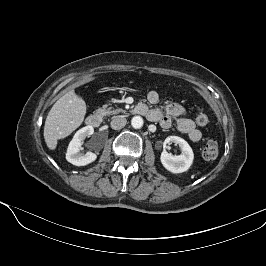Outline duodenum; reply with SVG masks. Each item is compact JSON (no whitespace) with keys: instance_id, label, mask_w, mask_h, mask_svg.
I'll return each instance as SVG.
<instances>
[{"instance_id":"1","label":"duodenum","mask_w":266,"mask_h":266,"mask_svg":"<svg viewBox=\"0 0 266 266\" xmlns=\"http://www.w3.org/2000/svg\"><path fill=\"white\" fill-rule=\"evenodd\" d=\"M133 113L143 115L145 113V109L142 106H136L133 109ZM101 123V118L97 114H91L86 118V124L90 127L97 128Z\"/></svg>"}]
</instances>
